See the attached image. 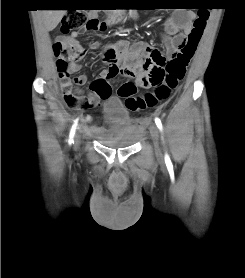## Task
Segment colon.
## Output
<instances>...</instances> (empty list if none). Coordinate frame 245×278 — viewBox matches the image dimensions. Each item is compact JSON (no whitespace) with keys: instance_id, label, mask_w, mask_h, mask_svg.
Listing matches in <instances>:
<instances>
[{"instance_id":"obj_1","label":"colon","mask_w":245,"mask_h":278,"mask_svg":"<svg viewBox=\"0 0 245 278\" xmlns=\"http://www.w3.org/2000/svg\"><path fill=\"white\" fill-rule=\"evenodd\" d=\"M199 8L196 17L193 19V28L189 33L187 41L182 45L178 54L171 58L158 54L152 68L145 75V80L154 87L151 92L143 95L136 93V86L133 81L123 82L117 89L119 97L125 99L126 107L133 112L142 111L148 107H154L158 103H166L172 91L185 77L187 68L193 58L196 46L204 32L209 18L207 7ZM194 9V8H193ZM100 21L94 17L87 18L83 11L69 12L62 20L60 30L63 34L74 33L81 30L96 31ZM53 51L57 56V70L62 80H68L67 72L69 62L80 56L84 49L80 46L69 45L61 39L53 43ZM86 96L71 92V86L64 89V99L69 108L83 110L95 106V99L92 94Z\"/></svg>"}]
</instances>
